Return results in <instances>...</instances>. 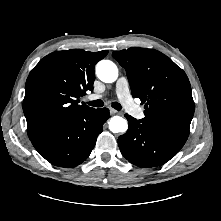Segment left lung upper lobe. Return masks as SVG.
Returning <instances> with one entry per match:
<instances>
[{"mask_svg": "<svg viewBox=\"0 0 221 221\" xmlns=\"http://www.w3.org/2000/svg\"><path fill=\"white\" fill-rule=\"evenodd\" d=\"M112 56L126 69L132 96L144 104L143 122L186 141L194 114V101L185 72L163 53L133 47Z\"/></svg>", "mask_w": 221, "mask_h": 221, "instance_id": "left-lung-upper-lobe-1", "label": "left lung upper lobe"}]
</instances>
